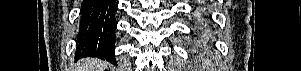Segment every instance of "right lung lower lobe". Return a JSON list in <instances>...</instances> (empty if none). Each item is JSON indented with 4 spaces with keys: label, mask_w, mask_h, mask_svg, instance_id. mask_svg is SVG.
I'll return each instance as SVG.
<instances>
[{
    "label": "right lung lower lobe",
    "mask_w": 301,
    "mask_h": 71,
    "mask_svg": "<svg viewBox=\"0 0 301 71\" xmlns=\"http://www.w3.org/2000/svg\"><path fill=\"white\" fill-rule=\"evenodd\" d=\"M117 4L115 0H84L81 5L78 58L98 57L115 61Z\"/></svg>",
    "instance_id": "98d812e1"
}]
</instances>
